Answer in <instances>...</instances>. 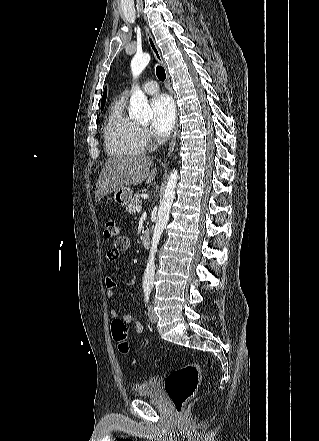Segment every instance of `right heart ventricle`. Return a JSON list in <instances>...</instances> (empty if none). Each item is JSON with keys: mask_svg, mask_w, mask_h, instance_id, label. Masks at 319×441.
Masks as SVG:
<instances>
[{"mask_svg": "<svg viewBox=\"0 0 319 441\" xmlns=\"http://www.w3.org/2000/svg\"><path fill=\"white\" fill-rule=\"evenodd\" d=\"M105 147L111 156H136L144 151L140 138V126L124 111L120 98L109 108L104 126Z\"/></svg>", "mask_w": 319, "mask_h": 441, "instance_id": "obj_1", "label": "right heart ventricle"}]
</instances>
